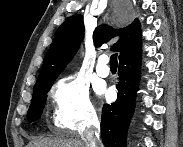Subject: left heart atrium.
Returning <instances> with one entry per match:
<instances>
[{
    "label": "left heart atrium",
    "instance_id": "1",
    "mask_svg": "<svg viewBox=\"0 0 183 147\" xmlns=\"http://www.w3.org/2000/svg\"><path fill=\"white\" fill-rule=\"evenodd\" d=\"M99 92H100V93H103V92H105V90H104L103 88H100V89H99Z\"/></svg>",
    "mask_w": 183,
    "mask_h": 147
}]
</instances>
